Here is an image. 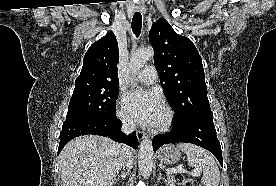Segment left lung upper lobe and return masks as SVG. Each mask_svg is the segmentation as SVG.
Returning <instances> with one entry per match:
<instances>
[{"mask_svg": "<svg viewBox=\"0 0 276 186\" xmlns=\"http://www.w3.org/2000/svg\"><path fill=\"white\" fill-rule=\"evenodd\" d=\"M149 40L164 94L176 113L173 123L212 114L202 59L192 41L163 18L153 23Z\"/></svg>", "mask_w": 276, "mask_h": 186, "instance_id": "1", "label": "left lung upper lobe"}]
</instances>
